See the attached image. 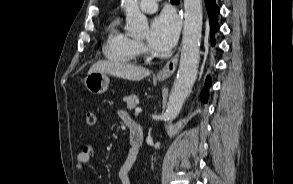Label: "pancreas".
<instances>
[{
	"instance_id": "pancreas-1",
	"label": "pancreas",
	"mask_w": 293,
	"mask_h": 184,
	"mask_svg": "<svg viewBox=\"0 0 293 184\" xmlns=\"http://www.w3.org/2000/svg\"><path fill=\"white\" fill-rule=\"evenodd\" d=\"M129 110H133L138 104L139 99L136 95H130L124 99Z\"/></svg>"
}]
</instances>
